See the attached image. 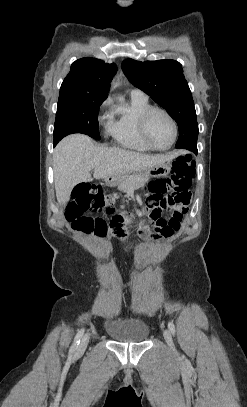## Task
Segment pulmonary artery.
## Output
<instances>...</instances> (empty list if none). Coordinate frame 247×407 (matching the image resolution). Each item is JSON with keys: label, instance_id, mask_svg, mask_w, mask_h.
Listing matches in <instances>:
<instances>
[{"label": "pulmonary artery", "instance_id": "e3ab8cb5", "mask_svg": "<svg viewBox=\"0 0 247 407\" xmlns=\"http://www.w3.org/2000/svg\"><path fill=\"white\" fill-rule=\"evenodd\" d=\"M131 97L147 98L146 94L144 92H142L141 90H138V89H133L131 91Z\"/></svg>", "mask_w": 247, "mask_h": 407}]
</instances>
